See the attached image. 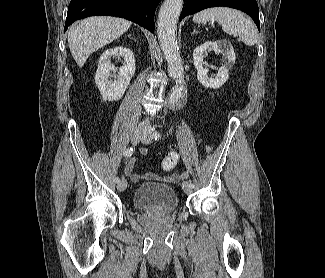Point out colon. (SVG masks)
<instances>
[{
  "mask_svg": "<svg viewBox=\"0 0 325 278\" xmlns=\"http://www.w3.org/2000/svg\"><path fill=\"white\" fill-rule=\"evenodd\" d=\"M179 160V156L175 150L170 151V153L164 158L162 162V169L166 172L172 171Z\"/></svg>",
  "mask_w": 325,
  "mask_h": 278,
  "instance_id": "obj_1",
  "label": "colon"
}]
</instances>
